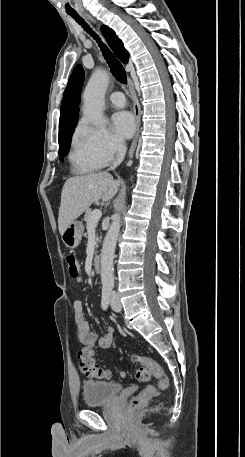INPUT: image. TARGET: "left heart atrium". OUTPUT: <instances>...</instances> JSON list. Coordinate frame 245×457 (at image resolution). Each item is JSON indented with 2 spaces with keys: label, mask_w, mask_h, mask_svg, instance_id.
I'll return each instance as SVG.
<instances>
[{
  "label": "left heart atrium",
  "mask_w": 245,
  "mask_h": 457,
  "mask_svg": "<svg viewBox=\"0 0 245 457\" xmlns=\"http://www.w3.org/2000/svg\"><path fill=\"white\" fill-rule=\"evenodd\" d=\"M113 127L121 138H129L135 130V121L132 115L122 111L114 114L112 118Z\"/></svg>",
  "instance_id": "obj_1"
}]
</instances>
